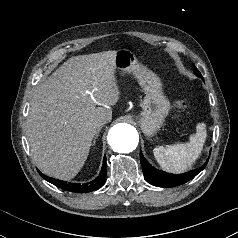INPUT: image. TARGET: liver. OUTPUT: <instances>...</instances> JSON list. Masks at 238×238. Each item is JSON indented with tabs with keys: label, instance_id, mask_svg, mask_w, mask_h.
<instances>
[{
	"label": "liver",
	"instance_id": "obj_1",
	"mask_svg": "<svg viewBox=\"0 0 238 238\" xmlns=\"http://www.w3.org/2000/svg\"><path fill=\"white\" fill-rule=\"evenodd\" d=\"M116 55L104 51L71 57L36 87L26 135L33 160L46 175L74 178L88 157L97 122L111 121L109 106L120 95Z\"/></svg>",
	"mask_w": 238,
	"mask_h": 238
}]
</instances>
